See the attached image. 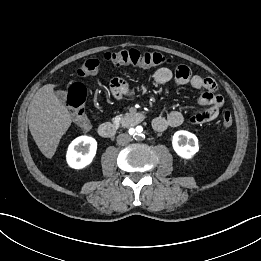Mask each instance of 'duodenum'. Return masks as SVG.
<instances>
[{
  "instance_id": "obj_1",
  "label": "duodenum",
  "mask_w": 261,
  "mask_h": 261,
  "mask_svg": "<svg viewBox=\"0 0 261 261\" xmlns=\"http://www.w3.org/2000/svg\"><path fill=\"white\" fill-rule=\"evenodd\" d=\"M145 115L142 112H131L125 115L120 123L104 122L98 127V134L102 138H112L120 128H130L143 122Z\"/></svg>"
}]
</instances>
